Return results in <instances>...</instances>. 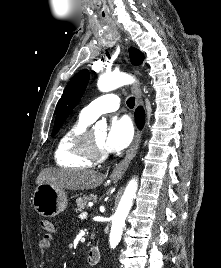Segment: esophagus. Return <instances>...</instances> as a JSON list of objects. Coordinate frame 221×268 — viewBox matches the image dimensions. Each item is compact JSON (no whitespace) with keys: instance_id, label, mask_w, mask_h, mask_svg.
Instances as JSON below:
<instances>
[{"instance_id":"esophagus-1","label":"esophagus","mask_w":221,"mask_h":268,"mask_svg":"<svg viewBox=\"0 0 221 268\" xmlns=\"http://www.w3.org/2000/svg\"><path fill=\"white\" fill-rule=\"evenodd\" d=\"M138 74V72H137ZM132 93L136 98V107L142 106V97H141V89L138 84H133L132 86ZM141 131H137L133 143L131 144L130 148L126 152L125 157L114 167L112 170L110 177L112 179H119L123 176L125 171L127 170L131 160L135 157L137 150L139 148L141 142Z\"/></svg>"}]
</instances>
